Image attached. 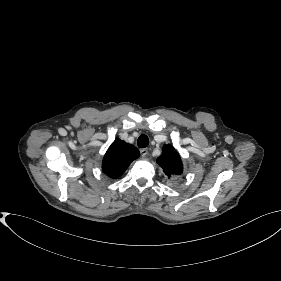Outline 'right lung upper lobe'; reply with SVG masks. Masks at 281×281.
<instances>
[{
	"mask_svg": "<svg viewBox=\"0 0 281 281\" xmlns=\"http://www.w3.org/2000/svg\"><path fill=\"white\" fill-rule=\"evenodd\" d=\"M140 152L136 147L116 139L107 150L102 163L103 172L110 178L121 176Z\"/></svg>",
	"mask_w": 281,
	"mask_h": 281,
	"instance_id": "1",
	"label": "right lung upper lobe"
}]
</instances>
